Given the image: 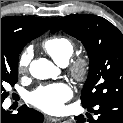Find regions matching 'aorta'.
Here are the masks:
<instances>
[{
  "mask_svg": "<svg viewBox=\"0 0 123 123\" xmlns=\"http://www.w3.org/2000/svg\"><path fill=\"white\" fill-rule=\"evenodd\" d=\"M29 71L34 78L40 80L56 78L59 73L58 68L45 58L33 60L30 64Z\"/></svg>",
  "mask_w": 123,
  "mask_h": 123,
  "instance_id": "762f6f07",
  "label": "aorta"
}]
</instances>
